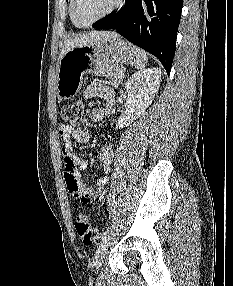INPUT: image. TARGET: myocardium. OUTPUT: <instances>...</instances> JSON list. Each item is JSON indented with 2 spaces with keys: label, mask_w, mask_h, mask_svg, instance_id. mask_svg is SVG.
<instances>
[{
  "label": "myocardium",
  "mask_w": 233,
  "mask_h": 286,
  "mask_svg": "<svg viewBox=\"0 0 233 286\" xmlns=\"http://www.w3.org/2000/svg\"><path fill=\"white\" fill-rule=\"evenodd\" d=\"M124 0H116L115 3L113 4V6L107 10L105 13H103L102 15L98 16L97 18L88 21V22H82L78 16H77V4H78V0H72V17L74 19V21L81 27H88L91 26L97 22H99L100 20L108 17L109 15H111L112 13H114L116 10H118L122 4H123Z\"/></svg>",
  "instance_id": "1"
}]
</instances>
